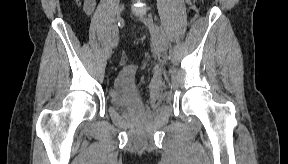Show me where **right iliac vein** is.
Listing matches in <instances>:
<instances>
[{
	"label": "right iliac vein",
	"mask_w": 288,
	"mask_h": 164,
	"mask_svg": "<svg viewBox=\"0 0 288 164\" xmlns=\"http://www.w3.org/2000/svg\"><path fill=\"white\" fill-rule=\"evenodd\" d=\"M123 25V19L122 17L118 16L116 19V23L113 26V32H116L118 34V26H122ZM112 48L113 46L111 45V47L108 50V56L110 57L112 54Z\"/></svg>",
	"instance_id": "1"
}]
</instances>
